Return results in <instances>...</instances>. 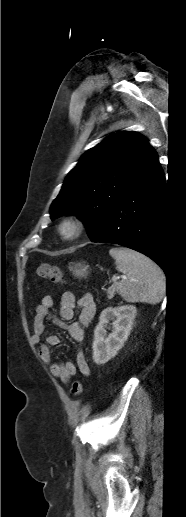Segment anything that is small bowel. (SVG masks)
<instances>
[{"label": "small bowel", "mask_w": 186, "mask_h": 517, "mask_svg": "<svg viewBox=\"0 0 186 517\" xmlns=\"http://www.w3.org/2000/svg\"><path fill=\"white\" fill-rule=\"evenodd\" d=\"M53 307L54 299L52 296L47 295L42 298L41 303L35 308L32 341L34 344L39 345V358L49 365L51 374L63 383H68L70 378L76 374L77 369L82 375L89 376L90 367L82 351H78L76 355V364L70 361L52 362L51 347L58 345L60 338L56 334H49L45 343H41V338L45 332L46 320H51L54 324L66 330L76 343L82 344L85 340L84 329L90 324L96 312L93 296L91 294H84L77 299L74 293L65 292L60 300L58 317L51 313ZM76 307L79 311L78 320L66 323V321L74 317Z\"/></svg>", "instance_id": "obj_1"}]
</instances>
